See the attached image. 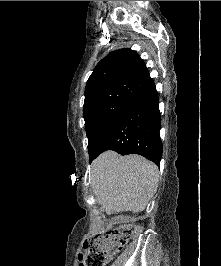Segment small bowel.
I'll use <instances>...</instances> for the list:
<instances>
[{
    "label": "small bowel",
    "instance_id": "obj_1",
    "mask_svg": "<svg viewBox=\"0 0 221 266\" xmlns=\"http://www.w3.org/2000/svg\"><path fill=\"white\" fill-rule=\"evenodd\" d=\"M78 256H81V253H78ZM83 261H84V258L83 257H78L77 258L76 265L77 266H86V263H84Z\"/></svg>",
    "mask_w": 221,
    "mask_h": 266
}]
</instances>
